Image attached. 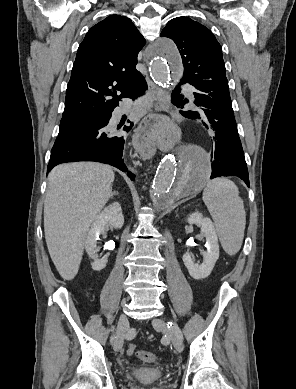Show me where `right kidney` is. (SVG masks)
Instances as JSON below:
<instances>
[{"mask_svg": "<svg viewBox=\"0 0 296 389\" xmlns=\"http://www.w3.org/2000/svg\"><path fill=\"white\" fill-rule=\"evenodd\" d=\"M123 224L124 217L121 206L118 202L110 204L96 216L85 240L86 252L90 258L94 259L91 263L93 270L101 271L106 267L108 262V255H105L101 259L96 258V247L99 236L104 233L106 226L120 229Z\"/></svg>", "mask_w": 296, "mask_h": 389, "instance_id": "right-kidney-1", "label": "right kidney"}]
</instances>
